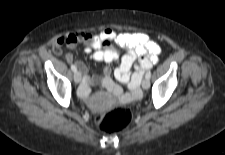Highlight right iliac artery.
<instances>
[{
	"mask_svg": "<svg viewBox=\"0 0 225 155\" xmlns=\"http://www.w3.org/2000/svg\"><path fill=\"white\" fill-rule=\"evenodd\" d=\"M71 70H72L73 72H76V71H77L76 66H75V65H71Z\"/></svg>",
	"mask_w": 225,
	"mask_h": 155,
	"instance_id": "right-iliac-artery-1",
	"label": "right iliac artery"
}]
</instances>
